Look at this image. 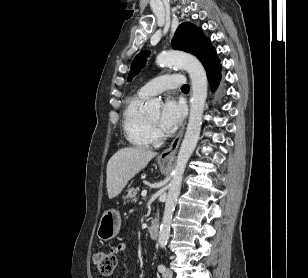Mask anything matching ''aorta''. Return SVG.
<instances>
[{
    "mask_svg": "<svg viewBox=\"0 0 308 278\" xmlns=\"http://www.w3.org/2000/svg\"><path fill=\"white\" fill-rule=\"evenodd\" d=\"M156 63L159 66H178L185 69L190 76L192 85L189 121L172 173V180L169 185L159 231V245L160 247H165L170 235V224L181 190L186 164L199 140L208 82L203 65L196 57L190 54L180 51L162 52L157 56ZM144 108L150 114L157 113L160 108V102L157 99H151L145 103Z\"/></svg>",
    "mask_w": 308,
    "mask_h": 278,
    "instance_id": "1",
    "label": "aorta"
}]
</instances>
